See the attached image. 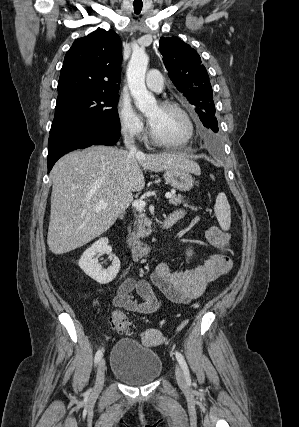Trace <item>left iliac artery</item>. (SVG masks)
<instances>
[{
	"label": "left iliac artery",
	"instance_id": "1",
	"mask_svg": "<svg viewBox=\"0 0 299 427\" xmlns=\"http://www.w3.org/2000/svg\"><path fill=\"white\" fill-rule=\"evenodd\" d=\"M175 355H176V359H177L179 365L181 366V368H182V370L184 372L186 380L187 381L190 380L189 369H188V366L186 364V361H185L184 357L182 356L181 353H179L177 351H176Z\"/></svg>",
	"mask_w": 299,
	"mask_h": 427
}]
</instances>
